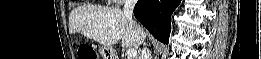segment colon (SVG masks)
I'll return each instance as SVG.
<instances>
[{"label": "colon", "mask_w": 261, "mask_h": 59, "mask_svg": "<svg viewBox=\"0 0 261 59\" xmlns=\"http://www.w3.org/2000/svg\"><path fill=\"white\" fill-rule=\"evenodd\" d=\"M79 59H97L96 52L90 47H82L78 52Z\"/></svg>", "instance_id": "5ec220e1"}]
</instances>
